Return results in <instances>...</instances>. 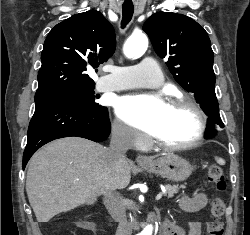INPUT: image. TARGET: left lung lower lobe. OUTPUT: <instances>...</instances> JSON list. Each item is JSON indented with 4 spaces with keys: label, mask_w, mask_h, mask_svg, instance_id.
<instances>
[{
    "label": "left lung lower lobe",
    "mask_w": 250,
    "mask_h": 235,
    "mask_svg": "<svg viewBox=\"0 0 250 235\" xmlns=\"http://www.w3.org/2000/svg\"><path fill=\"white\" fill-rule=\"evenodd\" d=\"M210 121L212 122V124H215L214 121H212V120H210ZM214 132H215V130L212 128V125H209V127L206 129V133L208 135H212V134H214Z\"/></svg>",
    "instance_id": "obj_1"
}]
</instances>
